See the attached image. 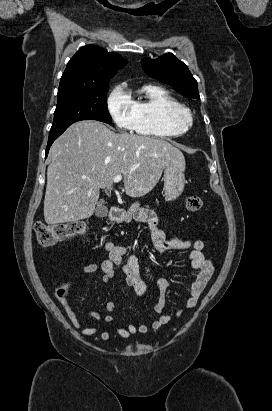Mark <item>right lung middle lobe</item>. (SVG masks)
<instances>
[{"mask_svg":"<svg viewBox=\"0 0 272 411\" xmlns=\"http://www.w3.org/2000/svg\"><path fill=\"white\" fill-rule=\"evenodd\" d=\"M108 87L109 84H102L82 90L58 92L49 139L57 138L71 124L81 120H97L111 124L106 97Z\"/></svg>","mask_w":272,"mask_h":411,"instance_id":"right-lung-middle-lobe-1","label":"right lung middle lobe"}]
</instances>
